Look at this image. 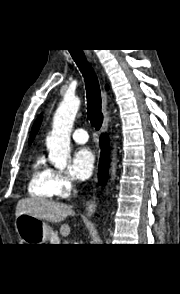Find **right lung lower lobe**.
Here are the masks:
<instances>
[{
  "mask_svg": "<svg viewBox=\"0 0 180 294\" xmlns=\"http://www.w3.org/2000/svg\"><path fill=\"white\" fill-rule=\"evenodd\" d=\"M101 157L99 162V181L102 185L106 184L109 168L110 146L107 135L102 134L100 138Z\"/></svg>",
  "mask_w": 180,
  "mask_h": 294,
  "instance_id": "1",
  "label": "right lung lower lobe"
}]
</instances>
